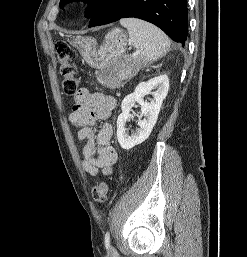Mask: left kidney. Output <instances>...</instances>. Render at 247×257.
Masks as SVG:
<instances>
[{"label": "left kidney", "instance_id": "left-kidney-1", "mask_svg": "<svg viewBox=\"0 0 247 257\" xmlns=\"http://www.w3.org/2000/svg\"><path fill=\"white\" fill-rule=\"evenodd\" d=\"M154 89L156 91L152 92ZM168 90L169 79L167 75H160L147 82L139 83L134 92L124 98L121 104L122 113L117 119V138L123 149L129 150L149 137L157 122L162 102L166 98ZM148 94L153 97L150 102L144 101V97ZM135 103L141 105V115L144 116V119L138 121L139 128L129 136L125 126L131 117L130 111Z\"/></svg>", "mask_w": 247, "mask_h": 257}]
</instances>
